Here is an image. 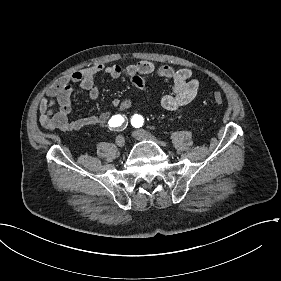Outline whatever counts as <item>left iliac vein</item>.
<instances>
[{"instance_id":"obj_1","label":"left iliac vein","mask_w":281,"mask_h":281,"mask_svg":"<svg viewBox=\"0 0 281 281\" xmlns=\"http://www.w3.org/2000/svg\"><path fill=\"white\" fill-rule=\"evenodd\" d=\"M133 137L136 138L137 140H151L156 142L160 146H165V143L163 141L156 139L152 134L142 129L134 131Z\"/></svg>"}]
</instances>
